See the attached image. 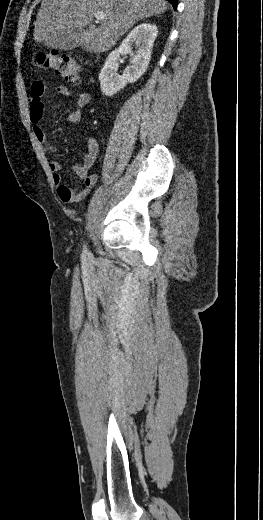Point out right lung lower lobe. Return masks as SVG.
Instances as JSON below:
<instances>
[{"label": "right lung lower lobe", "mask_w": 263, "mask_h": 520, "mask_svg": "<svg viewBox=\"0 0 263 520\" xmlns=\"http://www.w3.org/2000/svg\"><path fill=\"white\" fill-rule=\"evenodd\" d=\"M167 1H169L172 4L174 10H176L178 0H167Z\"/></svg>", "instance_id": "1"}]
</instances>
